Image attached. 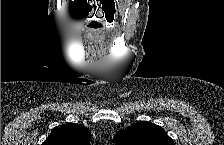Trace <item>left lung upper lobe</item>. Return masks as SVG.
I'll list each match as a JSON object with an SVG mask.
<instances>
[{"label":"left lung upper lobe","mask_w":224,"mask_h":145,"mask_svg":"<svg viewBox=\"0 0 224 145\" xmlns=\"http://www.w3.org/2000/svg\"><path fill=\"white\" fill-rule=\"evenodd\" d=\"M117 145H174L162 127L140 122L115 135Z\"/></svg>","instance_id":"1"}]
</instances>
